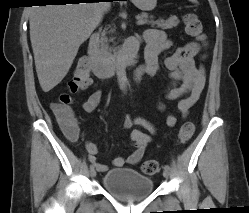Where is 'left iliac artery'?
Returning a JSON list of instances; mask_svg holds the SVG:
<instances>
[{"instance_id": "1", "label": "left iliac artery", "mask_w": 249, "mask_h": 213, "mask_svg": "<svg viewBox=\"0 0 249 213\" xmlns=\"http://www.w3.org/2000/svg\"><path fill=\"white\" fill-rule=\"evenodd\" d=\"M164 169L167 170V171H169L170 170V166L169 165H165Z\"/></svg>"}]
</instances>
